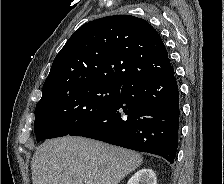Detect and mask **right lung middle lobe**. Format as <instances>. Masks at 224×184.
Returning <instances> with one entry per match:
<instances>
[{
  "label": "right lung middle lobe",
  "mask_w": 224,
  "mask_h": 184,
  "mask_svg": "<svg viewBox=\"0 0 224 184\" xmlns=\"http://www.w3.org/2000/svg\"><path fill=\"white\" fill-rule=\"evenodd\" d=\"M124 85L81 83L40 101L35 108L37 142L69 135L104 112Z\"/></svg>",
  "instance_id": "dd1d6c3e"
}]
</instances>
